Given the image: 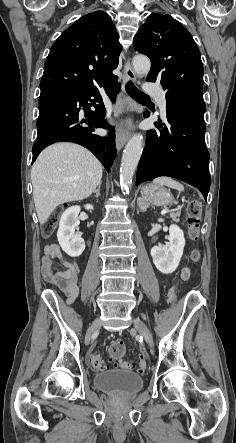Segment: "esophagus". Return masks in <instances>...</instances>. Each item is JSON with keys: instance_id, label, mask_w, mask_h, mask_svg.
Returning <instances> with one entry per match:
<instances>
[{"instance_id": "1", "label": "esophagus", "mask_w": 236, "mask_h": 443, "mask_svg": "<svg viewBox=\"0 0 236 443\" xmlns=\"http://www.w3.org/2000/svg\"><path fill=\"white\" fill-rule=\"evenodd\" d=\"M124 73L126 77L132 81L136 80V74L131 67L129 60L126 61L124 65ZM130 138V132L123 131L122 129H118L116 133V147L117 150H121V148L125 145V143Z\"/></svg>"}]
</instances>
